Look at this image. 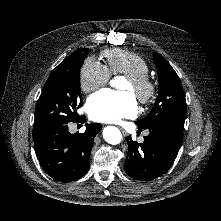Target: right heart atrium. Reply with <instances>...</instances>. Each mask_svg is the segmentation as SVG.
I'll return each mask as SVG.
<instances>
[{"instance_id": "right-heart-atrium-1", "label": "right heart atrium", "mask_w": 221, "mask_h": 221, "mask_svg": "<svg viewBox=\"0 0 221 221\" xmlns=\"http://www.w3.org/2000/svg\"><path fill=\"white\" fill-rule=\"evenodd\" d=\"M110 79V74L100 61L87 58L79 72V86L84 93L92 92L105 85Z\"/></svg>"}]
</instances>
